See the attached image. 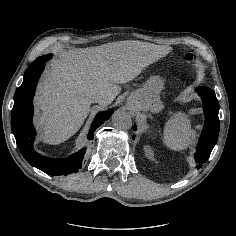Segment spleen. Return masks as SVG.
<instances>
[{"instance_id": "1", "label": "spleen", "mask_w": 236, "mask_h": 236, "mask_svg": "<svg viewBox=\"0 0 236 236\" xmlns=\"http://www.w3.org/2000/svg\"><path fill=\"white\" fill-rule=\"evenodd\" d=\"M194 136L193 131L189 130L186 118L177 114L165 125L164 139L166 144L173 149L185 148Z\"/></svg>"}]
</instances>
